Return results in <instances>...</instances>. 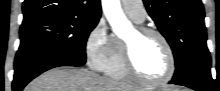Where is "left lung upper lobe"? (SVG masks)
I'll use <instances>...</instances> for the list:
<instances>
[{
  "instance_id": "left-lung-upper-lobe-1",
  "label": "left lung upper lobe",
  "mask_w": 220,
  "mask_h": 91,
  "mask_svg": "<svg viewBox=\"0 0 220 91\" xmlns=\"http://www.w3.org/2000/svg\"><path fill=\"white\" fill-rule=\"evenodd\" d=\"M143 1L150 17L172 48L176 67L174 76L202 64H211L201 0Z\"/></svg>"
}]
</instances>
